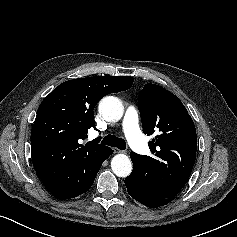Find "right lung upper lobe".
Returning <instances> with one entry per match:
<instances>
[{
	"mask_svg": "<svg viewBox=\"0 0 237 237\" xmlns=\"http://www.w3.org/2000/svg\"><path fill=\"white\" fill-rule=\"evenodd\" d=\"M129 76L73 79L57 86L39 106L31 130L32 162L46 188L56 198H73L87 182L81 169L106 155L99 139L87 142L95 127L94 107L109 93L129 89Z\"/></svg>",
	"mask_w": 237,
	"mask_h": 237,
	"instance_id": "cb5924a9",
	"label": "right lung upper lobe"
}]
</instances>
